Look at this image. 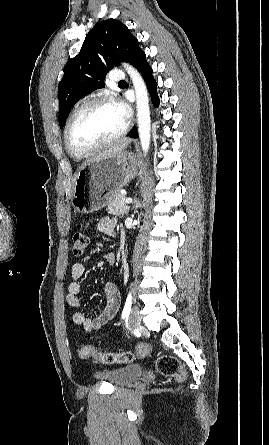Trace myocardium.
<instances>
[{
	"label": "myocardium",
	"mask_w": 269,
	"mask_h": 445,
	"mask_svg": "<svg viewBox=\"0 0 269 445\" xmlns=\"http://www.w3.org/2000/svg\"><path fill=\"white\" fill-rule=\"evenodd\" d=\"M114 103L115 102L109 97H106V96L96 97V98L90 99L87 102H85L84 104H82L70 115V117L65 125L63 138H64L65 147L72 156H74L76 158H84V157L91 156V155L99 152L100 150L106 148L107 146H110V145L114 144L115 142L119 141L127 134L128 130H129V126H130V123L128 120H126L124 127L117 135L100 143L99 145H97L91 149L78 150V149L74 148L70 142L69 134H70L71 125H72L73 121L75 120V118L79 114H81L85 110H87L91 107L97 106V105L114 104Z\"/></svg>",
	"instance_id": "obj_1"
}]
</instances>
